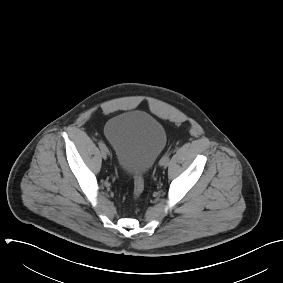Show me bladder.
I'll return each instance as SVG.
<instances>
[{"mask_svg": "<svg viewBox=\"0 0 283 283\" xmlns=\"http://www.w3.org/2000/svg\"><path fill=\"white\" fill-rule=\"evenodd\" d=\"M105 136L119 167L141 175L153 166L167 142L162 124L142 111L125 112L110 119Z\"/></svg>", "mask_w": 283, "mask_h": 283, "instance_id": "31cf9c89", "label": "bladder"}]
</instances>
